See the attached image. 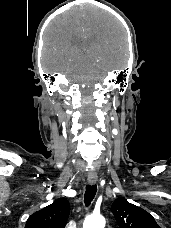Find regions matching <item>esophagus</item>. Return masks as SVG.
<instances>
[{"instance_id": "1", "label": "esophagus", "mask_w": 171, "mask_h": 228, "mask_svg": "<svg viewBox=\"0 0 171 228\" xmlns=\"http://www.w3.org/2000/svg\"><path fill=\"white\" fill-rule=\"evenodd\" d=\"M96 182H97V176L96 175H90V176H88L87 183L89 185H95Z\"/></svg>"}]
</instances>
